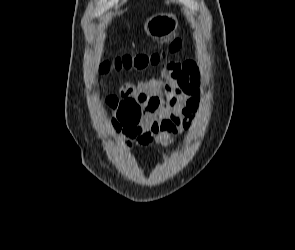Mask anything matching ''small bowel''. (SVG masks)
I'll return each mask as SVG.
<instances>
[{"instance_id":"small-bowel-1","label":"small bowel","mask_w":295,"mask_h":250,"mask_svg":"<svg viewBox=\"0 0 295 250\" xmlns=\"http://www.w3.org/2000/svg\"><path fill=\"white\" fill-rule=\"evenodd\" d=\"M201 73L194 61H168L159 76L134 83H124L121 98L135 99L143 109L140 124L125 129L121 141L127 148L156 143L173 144V136L187 131L195 123L200 105Z\"/></svg>"}]
</instances>
